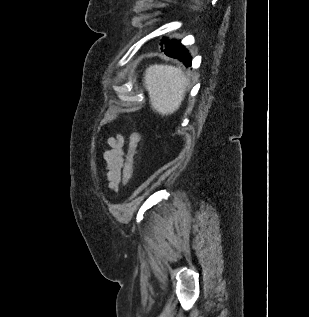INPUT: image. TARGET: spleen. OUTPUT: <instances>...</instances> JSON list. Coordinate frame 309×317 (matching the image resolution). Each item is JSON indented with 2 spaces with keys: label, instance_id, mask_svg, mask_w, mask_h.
<instances>
[{
  "label": "spleen",
  "instance_id": "3e777b00",
  "mask_svg": "<svg viewBox=\"0 0 309 317\" xmlns=\"http://www.w3.org/2000/svg\"><path fill=\"white\" fill-rule=\"evenodd\" d=\"M144 83L152 108L161 115L172 114L180 107L189 85L181 69L157 64L146 69Z\"/></svg>",
  "mask_w": 309,
  "mask_h": 317
}]
</instances>
